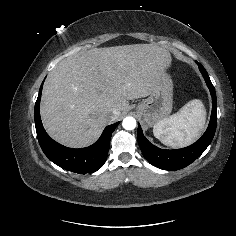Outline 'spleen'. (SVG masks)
Returning <instances> with one entry per match:
<instances>
[{
    "instance_id": "1",
    "label": "spleen",
    "mask_w": 236,
    "mask_h": 236,
    "mask_svg": "<svg viewBox=\"0 0 236 236\" xmlns=\"http://www.w3.org/2000/svg\"><path fill=\"white\" fill-rule=\"evenodd\" d=\"M206 111L203 103L194 99L177 113L165 118L153 127L154 136L164 145L185 147L195 141L205 125Z\"/></svg>"
}]
</instances>
